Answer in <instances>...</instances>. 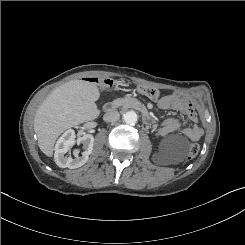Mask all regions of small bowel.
<instances>
[{
  "mask_svg": "<svg viewBox=\"0 0 245 245\" xmlns=\"http://www.w3.org/2000/svg\"><path fill=\"white\" fill-rule=\"evenodd\" d=\"M158 106L165 110H176L185 115L190 122V126L182 130L183 134L192 141H197L203 136V130L198 123V117L190 100L184 95L174 92L162 97L158 101ZM180 128V120L167 118L163 120L161 126L156 129L158 136H164L175 132Z\"/></svg>",
  "mask_w": 245,
  "mask_h": 245,
  "instance_id": "1",
  "label": "small bowel"
}]
</instances>
